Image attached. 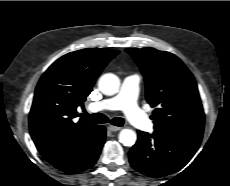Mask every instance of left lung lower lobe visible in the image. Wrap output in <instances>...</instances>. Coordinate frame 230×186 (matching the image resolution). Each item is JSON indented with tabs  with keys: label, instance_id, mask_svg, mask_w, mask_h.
<instances>
[{
	"label": "left lung lower lobe",
	"instance_id": "left-lung-lower-lobe-1",
	"mask_svg": "<svg viewBox=\"0 0 230 186\" xmlns=\"http://www.w3.org/2000/svg\"><path fill=\"white\" fill-rule=\"evenodd\" d=\"M200 142L156 131L153 134L138 131V140L129 152V161L140 173L163 177L183 168Z\"/></svg>",
	"mask_w": 230,
	"mask_h": 186
}]
</instances>
